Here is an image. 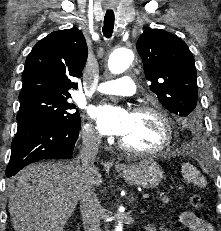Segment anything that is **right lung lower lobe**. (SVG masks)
I'll return each instance as SVG.
<instances>
[{
    "mask_svg": "<svg viewBox=\"0 0 221 231\" xmlns=\"http://www.w3.org/2000/svg\"><path fill=\"white\" fill-rule=\"evenodd\" d=\"M81 125L56 121H31L17 129L12 142L6 176H14L26 165L43 159H70Z\"/></svg>",
    "mask_w": 221,
    "mask_h": 231,
    "instance_id": "98d812e1",
    "label": "right lung lower lobe"
}]
</instances>
